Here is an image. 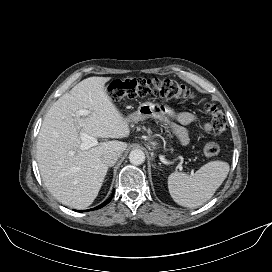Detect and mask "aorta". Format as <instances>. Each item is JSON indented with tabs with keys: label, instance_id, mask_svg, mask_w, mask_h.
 Listing matches in <instances>:
<instances>
[{
	"label": "aorta",
	"instance_id": "1",
	"mask_svg": "<svg viewBox=\"0 0 272 272\" xmlns=\"http://www.w3.org/2000/svg\"><path fill=\"white\" fill-rule=\"evenodd\" d=\"M129 160L134 165H140L145 161V154L140 149H134L129 154Z\"/></svg>",
	"mask_w": 272,
	"mask_h": 272
}]
</instances>
